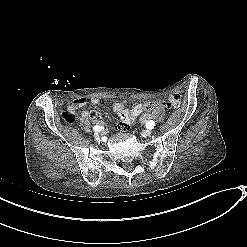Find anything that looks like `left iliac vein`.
<instances>
[{
  "label": "left iliac vein",
  "instance_id": "1",
  "mask_svg": "<svg viewBox=\"0 0 247 247\" xmlns=\"http://www.w3.org/2000/svg\"><path fill=\"white\" fill-rule=\"evenodd\" d=\"M151 133H152V131H151L150 129H146V130H143V131H142V135H143L144 137L150 136Z\"/></svg>",
  "mask_w": 247,
  "mask_h": 247
}]
</instances>
